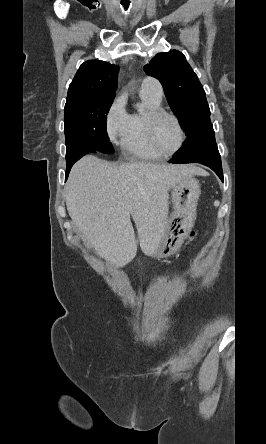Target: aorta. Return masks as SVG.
Instances as JSON below:
<instances>
[{"instance_id": "aorta-1", "label": "aorta", "mask_w": 266, "mask_h": 444, "mask_svg": "<svg viewBox=\"0 0 266 444\" xmlns=\"http://www.w3.org/2000/svg\"><path fill=\"white\" fill-rule=\"evenodd\" d=\"M138 111L141 112L142 111V106L141 105H137Z\"/></svg>"}]
</instances>
